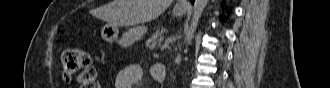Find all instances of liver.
<instances>
[{
  "label": "liver",
  "mask_w": 330,
  "mask_h": 88,
  "mask_svg": "<svg viewBox=\"0 0 330 88\" xmlns=\"http://www.w3.org/2000/svg\"><path fill=\"white\" fill-rule=\"evenodd\" d=\"M173 0H113L100 11L108 24L131 26L157 18Z\"/></svg>",
  "instance_id": "obj_1"
}]
</instances>
